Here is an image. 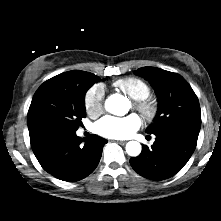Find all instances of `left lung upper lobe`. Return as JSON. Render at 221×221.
<instances>
[{
	"mask_svg": "<svg viewBox=\"0 0 221 221\" xmlns=\"http://www.w3.org/2000/svg\"><path fill=\"white\" fill-rule=\"evenodd\" d=\"M136 73L150 82L158 99L157 114L146 133L153 134L171 125H185L200 130L198 98L181 75L156 67H142Z\"/></svg>",
	"mask_w": 221,
	"mask_h": 221,
	"instance_id": "1",
	"label": "left lung upper lobe"
}]
</instances>
